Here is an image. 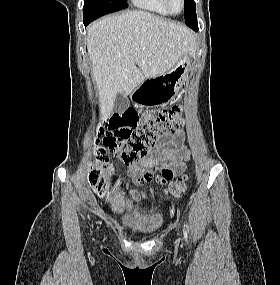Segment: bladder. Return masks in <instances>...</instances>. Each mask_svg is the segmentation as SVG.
Returning <instances> with one entry per match:
<instances>
[{"mask_svg":"<svg viewBox=\"0 0 280 285\" xmlns=\"http://www.w3.org/2000/svg\"><path fill=\"white\" fill-rule=\"evenodd\" d=\"M116 224L133 236L149 238L162 229L164 216L151 205H129L117 213Z\"/></svg>","mask_w":280,"mask_h":285,"instance_id":"1","label":"bladder"}]
</instances>
